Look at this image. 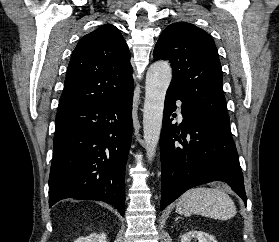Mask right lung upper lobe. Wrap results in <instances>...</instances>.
I'll return each instance as SVG.
<instances>
[{
	"mask_svg": "<svg viewBox=\"0 0 279 242\" xmlns=\"http://www.w3.org/2000/svg\"><path fill=\"white\" fill-rule=\"evenodd\" d=\"M130 57L120 31L111 24L85 35L72 53L57 112L127 95L134 84Z\"/></svg>",
	"mask_w": 279,
	"mask_h": 242,
	"instance_id": "cb5924a9",
	"label": "right lung upper lobe"
}]
</instances>
